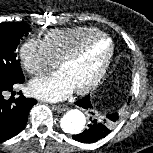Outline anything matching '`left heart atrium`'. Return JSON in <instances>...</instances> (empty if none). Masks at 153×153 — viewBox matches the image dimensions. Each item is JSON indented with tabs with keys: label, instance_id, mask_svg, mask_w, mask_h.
<instances>
[{
	"label": "left heart atrium",
	"instance_id": "39dd6f15",
	"mask_svg": "<svg viewBox=\"0 0 153 153\" xmlns=\"http://www.w3.org/2000/svg\"><path fill=\"white\" fill-rule=\"evenodd\" d=\"M73 90L72 83L62 70L37 78L29 84L32 95L51 102L67 98Z\"/></svg>",
	"mask_w": 153,
	"mask_h": 153
}]
</instances>
